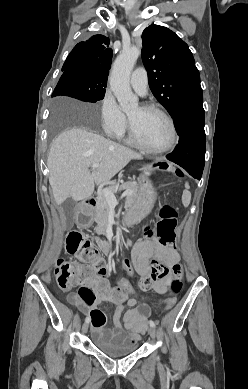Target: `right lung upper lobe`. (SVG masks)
<instances>
[{"label": "right lung upper lobe", "mask_w": 248, "mask_h": 389, "mask_svg": "<svg viewBox=\"0 0 248 389\" xmlns=\"http://www.w3.org/2000/svg\"><path fill=\"white\" fill-rule=\"evenodd\" d=\"M109 38L95 35L77 44L68 55L62 71L80 70L98 81H106L112 61Z\"/></svg>", "instance_id": "right-lung-upper-lobe-1"}]
</instances>
